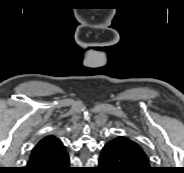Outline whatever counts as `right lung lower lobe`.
Returning a JSON list of instances; mask_svg holds the SVG:
<instances>
[{
	"mask_svg": "<svg viewBox=\"0 0 184 173\" xmlns=\"http://www.w3.org/2000/svg\"><path fill=\"white\" fill-rule=\"evenodd\" d=\"M65 146L45 155L31 156L23 173H73Z\"/></svg>",
	"mask_w": 184,
	"mask_h": 173,
	"instance_id": "98d812e1",
	"label": "right lung lower lobe"
}]
</instances>
